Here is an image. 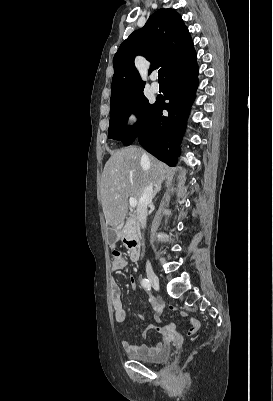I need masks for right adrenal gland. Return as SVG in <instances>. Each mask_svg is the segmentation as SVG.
I'll list each match as a JSON object with an SVG mask.
<instances>
[{
  "label": "right adrenal gland",
  "mask_w": 273,
  "mask_h": 401,
  "mask_svg": "<svg viewBox=\"0 0 273 401\" xmlns=\"http://www.w3.org/2000/svg\"><path fill=\"white\" fill-rule=\"evenodd\" d=\"M163 180H169V178H167V174H165V172H164V176H163L162 180H159V182H157V184H155L153 196H155L156 192H159V190H161V182H163Z\"/></svg>",
  "instance_id": "2a0ac1e0"
}]
</instances>
